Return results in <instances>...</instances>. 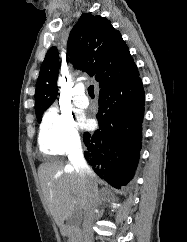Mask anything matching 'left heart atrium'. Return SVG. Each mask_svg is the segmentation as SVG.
I'll use <instances>...</instances> for the list:
<instances>
[{"label": "left heart atrium", "instance_id": "1", "mask_svg": "<svg viewBox=\"0 0 187 242\" xmlns=\"http://www.w3.org/2000/svg\"><path fill=\"white\" fill-rule=\"evenodd\" d=\"M81 125L83 126V127H88V125H89V122H88V120H86V119H83L82 121H81Z\"/></svg>", "mask_w": 187, "mask_h": 242}]
</instances>
